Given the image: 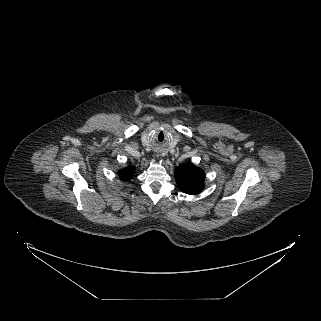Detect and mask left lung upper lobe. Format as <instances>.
Listing matches in <instances>:
<instances>
[{
	"instance_id": "1",
	"label": "left lung upper lobe",
	"mask_w": 321,
	"mask_h": 321,
	"mask_svg": "<svg viewBox=\"0 0 321 321\" xmlns=\"http://www.w3.org/2000/svg\"><path fill=\"white\" fill-rule=\"evenodd\" d=\"M205 174L195 165L188 163L175 171V179L180 190L187 194H196L204 188Z\"/></svg>"
}]
</instances>
